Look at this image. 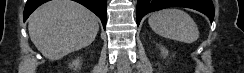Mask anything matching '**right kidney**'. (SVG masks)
<instances>
[{
    "instance_id": "right-kidney-1",
    "label": "right kidney",
    "mask_w": 244,
    "mask_h": 73,
    "mask_svg": "<svg viewBox=\"0 0 244 73\" xmlns=\"http://www.w3.org/2000/svg\"><path fill=\"white\" fill-rule=\"evenodd\" d=\"M81 65V60L79 58L72 61V63L69 64L70 68L77 69Z\"/></svg>"
}]
</instances>
